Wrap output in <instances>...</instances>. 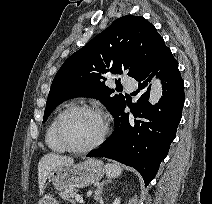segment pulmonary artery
Masks as SVG:
<instances>
[{
  "label": "pulmonary artery",
  "instance_id": "1",
  "mask_svg": "<svg viewBox=\"0 0 212 204\" xmlns=\"http://www.w3.org/2000/svg\"><path fill=\"white\" fill-rule=\"evenodd\" d=\"M121 82L129 90H133L135 87V80L131 77H123Z\"/></svg>",
  "mask_w": 212,
  "mask_h": 204
}]
</instances>
